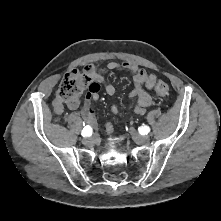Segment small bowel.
Here are the masks:
<instances>
[{"label":"small bowel","instance_id":"small-bowel-1","mask_svg":"<svg viewBox=\"0 0 221 221\" xmlns=\"http://www.w3.org/2000/svg\"><path fill=\"white\" fill-rule=\"evenodd\" d=\"M122 68L132 73L134 80V88L130 92V96L135 98L134 111L137 115H143L146 108L151 106L153 103V98L149 91L154 87L156 83V76L153 73H149L143 68L132 62H110L106 65V70L112 71ZM87 74L90 76L91 80L95 85H91L88 88V94L83 105L82 116L86 123L96 126V119L94 116V108L92 101L99 98V84L103 82L104 76L100 73L97 68L93 65H88L85 68ZM105 91L108 95H114L116 89L112 83H108L105 86ZM66 106L71 109H77L81 102L78 98H73L65 101ZM54 111L57 114L63 112V101L56 99L54 102ZM112 112L117 113L118 107L116 105L112 106ZM106 133L110 135L113 132V126L111 123L107 122L105 125Z\"/></svg>","mask_w":221,"mask_h":221}]
</instances>
